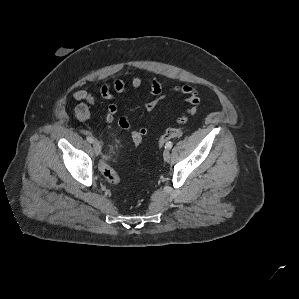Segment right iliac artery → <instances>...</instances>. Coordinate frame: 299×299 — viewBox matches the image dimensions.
I'll return each instance as SVG.
<instances>
[{
  "label": "right iliac artery",
  "mask_w": 299,
  "mask_h": 299,
  "mask_svg": "<svg viewBox=\"0 0 299 299\" xmlns=\"http://www.w3.org/2000/svg\"><path fill=\"white\" fill-rule=\"evenodd\" d=\"M87 141L90 142V143H92V142L94 141V138L91 137V136H88V137H87Z\"/></svg>",
  "instance_id": "1"
}]
</instances>
